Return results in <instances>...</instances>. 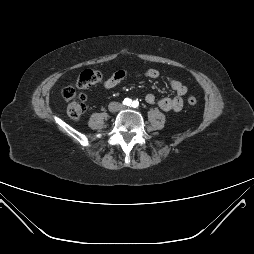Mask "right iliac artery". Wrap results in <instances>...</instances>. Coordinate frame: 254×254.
Returning a JSON list of instances; mask_svg holds the SVG:
<instances>
[{
  "mask_svg": "<svg viewBox=\"0 0 254 254\" xmlns=\"http://www.w3.org/2000/svg\"><path fill=\"white\" fill-rule=\"evenodd\" d=\"M123 104L126 105V106H130L131 105V99H129V98L124 99Z\"/></svg>",
  "mask_w": 254,
  "mask_h": 254,
  "instance_id": "right-iliac-artery-1",
  "label": "right iliac artery"
}]
</instances>
